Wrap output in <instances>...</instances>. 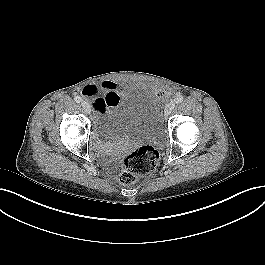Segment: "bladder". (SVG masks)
Returning <instances> with one entry per match:
<instances>
[{
	"label": "bladder",
	"mask_w": 265,
	"mask_h": 265,
	"mask_svg": "<svg viewBox=\"0 0 265 265\" xmlns=\"http://www.w3.org/2000/svg\"><path fill=\"white\" fill-rule=\"evenodd\" d=\"M107 136L155 138L163 129V115L156 91L144 82L127 85L108 116Z\"/></svg>",
	"instance_id": "31cf9c89"
}]
</instances>
